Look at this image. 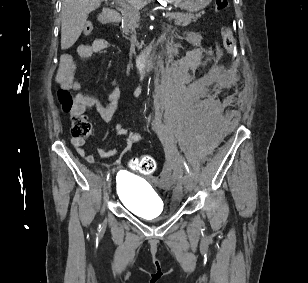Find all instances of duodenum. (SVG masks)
<instances>
[{"label": "duodenum", "mask_w": 308, "mask_h": 283, "mask_svg": "<svg viewBox=\"0 0 308 283\" xmlns=\"http://www.w3.org/2000/svg\"><path fill=\"white\" fill-rule=\"evenodd\" d=\"M121 13L117 10H110L103 16V22L105 23H116L121 20ZM146 60V53L142 52L136 58V67L138 70H142Z\"/></svg>", "instance_id": "duodenum-1"}]
</instances>
